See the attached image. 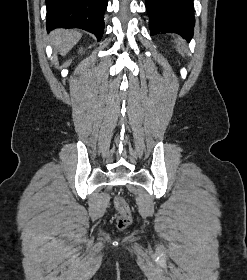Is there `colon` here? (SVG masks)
I'll return each instance as SVG.
<instances>
[{
	"instance_id": "colon-1",
	"label": "colon",
	"mask_w": 247,
	"mask_h": 280,
	"mask_svg": "<svg viewBox=\"0 0 247 280\" xmlns=\"http://www.w3.org/2000/svg\"><path fill=\"white\" fill-rule=\"evenodd\" d=\"M115 208L118 211V226L126 227L130 222V208L122 195H117L114 200Z\"/></svg>"
}]
</instances>
